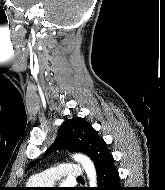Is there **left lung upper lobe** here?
Returning <instances> with one entry per match:
<instances>
[{
    "mask_svg": "<svg viewBox=\"0 0 165 190\" xmlns=\"http://www.w3.org/2000/svg\"><path fill=\"white\" fill-rule=\"evenodd\" d=\"M58 149L82 151L90 156L95 164L110 154L105 141L98 135L97 131L81 117L66 120L61 125L54 144L48 148L44 156L50 151ZM38 161L39 160L31 162L26 170L30 169Z\"/></svg>",
    "mask_w": 165,
    "mask_h": 190,
    "instance_id": "1",
    "label": "left lung upper lobe"
}]
</instances>
